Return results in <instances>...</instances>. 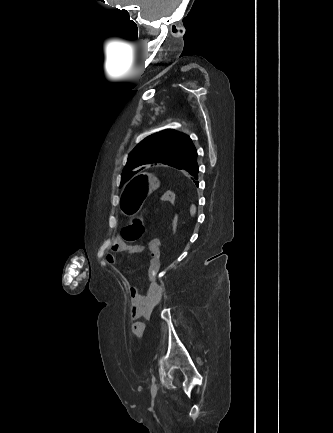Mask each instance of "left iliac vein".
Returning a JSON list of instances; mask_svg holds the SVG:
<instances>
[{
    "instance_id": "1",
    "label": "left iliac vein",
    "mask_w": 333,
    "mask_h": 433,
    "mask_svg": "<svg viewBox=\"0 0 333 433\" xmlns=\"http://www.w3.org/2000/svg\"><path fill=\"white\" fill-rule=\"evenodd\" d=\"M151 393L152 395H155L157 393V385L155 383L152 384Z\"/></svg>"
}]
</instances>
